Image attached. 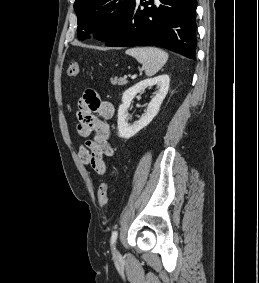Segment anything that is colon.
Returning <instances> with one entry per match:
<instances>
[{
  "instance_id": "colon-1",
  "label": "colon",
  "mask_w": 259,
  "mask_h": 283,
  "mask_svg": "<svg viewBox=\"0 0 259 283\" xmlns=\"http://www.w3.org/2000/svg\"><path fill=\"white\" fill-rule=\"evenodd\" d=\"M80 71V65L78 62H70L68 66V76L69 77H76L79 74ZM109 199V188L107 182H103L99 189H98V200L99 204L104 207L108 203Z\"/></svg>"
}]
</instances>
